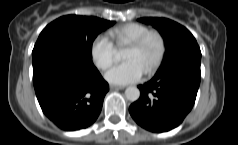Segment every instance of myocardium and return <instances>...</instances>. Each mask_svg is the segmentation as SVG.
Masks as SVG:
<instances>
[{
    "label": "myocardium",
    "instance_id": "obj_1",
    "mask_svg": "<svg viewBox=\"0 0 238 145\" xmlns=\"http://www.w3.org/2000/svg\"><path fill=\"white\" fill-rule=\"evenodd\" d=\"M151 38L156 39L158 43V52L148 69L145 71V74L147 75L154 73L164 58L166 51V42L164 36L158 30H148L146 33L128 45L129 48L138 50Z\"/></svg>",
    "mask_w": 238,
    "mask_h": 145
}]
</instances>
